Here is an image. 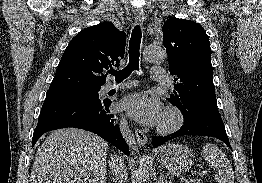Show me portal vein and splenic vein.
Listing matches in <instances>:
<instances>
[{"label": "portal vein and splenic vein", "instance_id": "portal-vein-and-splenic-vein-1", "mask_svg": "<svg viewBox=\"0 0 262 183\" xmlns=\"http://www.w3.org/2000/svg\"><path fill=\"white\" fill-rule=\"evenodd\" d=\"M210 171L209 170H205L199 173V175H206L208 174ZM181 181H185V179H181Z\"/></svg>", "mask_w": 262, "mask_h": 183}]
</instances>
